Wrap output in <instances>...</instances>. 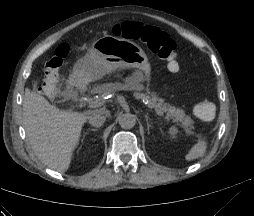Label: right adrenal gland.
Returning <instances> with one entry per match:
<instances>
[{
  "mask_svg": "<svg viewBox=\"0 0 254 216\" xmlns=\"http://www.w3.org/2000/svg\"><path fill=\"white\" fill-rule=\"evenodd\" d=\"M91 131L96 132L98 129L92 128Z\"/></svg>",
  "mask_w": 254,
  "mask_h": 216,
  "instance_id": "obj_1",
  "label": "right adrenal gland"
}]
</instances>
